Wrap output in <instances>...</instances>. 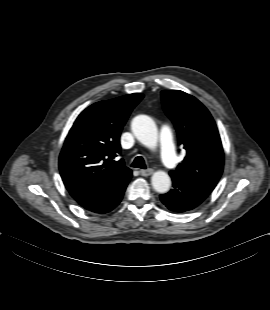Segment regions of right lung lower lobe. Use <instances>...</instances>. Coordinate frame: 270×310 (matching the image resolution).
<instances>
[{
    "mask_svg": "<svg viewBox=\"0 0 270 310\" xmlns=\"http://www.w3.org/2000/svg\"><path fill=\"white\" fill-rule=\"evenodd\" d=\"M131 177V171L124 173L101 190L75 200L88 211L99 214L110 212L120 203Z\"/></svg>",
    "mask_w": 270,
    "mask_h": 310,
    "instance_id": "98d812e1",
    "label": "right lung lower lobe"
}]
</instances>
